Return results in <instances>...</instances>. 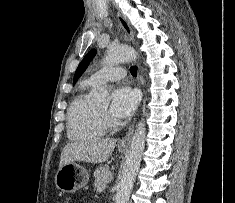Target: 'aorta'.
I'll return each instance as SVG.
<instances>
[{"label": "aorta", "mask_w": 235, "mask_h": 203, "mask_svg": "<svg viewBox=\"0 0 235 203\" xmlns=\"http://www.w3.org/2000/svg\"><path fill=\"white\" fill-rule=\"evenodd\" d=\"M137 58L135 50L128 46L109 45L104 58V63L109 65L130 62ZM95 100L106 103L109 100V93L106 87L94 95ZM146 128L145 123L140 121L134 132L130 150L126 157L122 178L118 184L115 195V203H127L134 185L136 174L139 170L142 154L145 147Z\"/></svg>", "instance_id": "aorta-1"}]
</instances>
